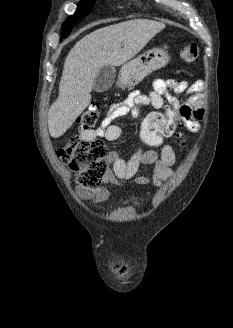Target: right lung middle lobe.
<instances>
[{
    "instance_id": "1",
    "label": "right lung middle lobe",
    "mask_w": 233,
    "mask_h": 328,
    "mask_svg": "<svg viewBox=\"0 0 233 328\" xmlns=\"http://www.w3.org/2000/svg\"><path fill=\"white\" fill-rule=\"evenodd\" d=\"M94 4L95 0H81L77 12L74 15H71L68 20L63 23L62 28L69 29L70 27H73L93 9ZM65 33L68 32L66 31Z\"/></svg>"
}]
</instances>
